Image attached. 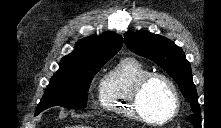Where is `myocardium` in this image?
<instances>
[{
	"label": "myocardium",
	"instance_id": "1",
	"mask_svg": "<svg viewBox=\"0 0 221 128\" xmlns=\"http://www.w3.org/2000/svg\"><path fill=\"white\" fill-rule=\"evenodd\" d=\"M154 79H160L167 85L172 101V109L170 114L166 118L160 121L150 118L143 111L140 105V97L142 91L147 86V84ZM130 103L132 111L139 119L154 125H165L170 123L177 116L179 111V96L175 84L167 75L159 72H149L136 82L130 96Z\"/></svg>",
	"mask_w": 221,
	"mask_h": 128
}]
</instances>
